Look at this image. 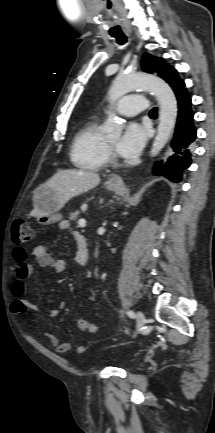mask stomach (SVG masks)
<instances>
[{
	"instance_id": "obj_1",
	"label": "stomach",
	"mask_w": 215,
	"mask_h": 433,
	"mask_svg": "<svg viewBox=\"0 0 215 433\" xmlns=\"http://www.w3.org/2000/svg\"><path fill=\"white\" fill-rule=\"evenodd\" d=\"M107 190L114 191L118 188L116 185L105 184ZM34 207L39 212L37 221L41 225H49L61 220L59 214L60 205L56 199L54 190L40 186L33 194Z\"/></svg>"
}]
</instances>
